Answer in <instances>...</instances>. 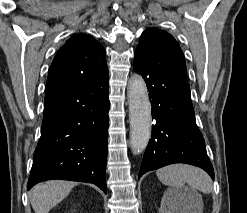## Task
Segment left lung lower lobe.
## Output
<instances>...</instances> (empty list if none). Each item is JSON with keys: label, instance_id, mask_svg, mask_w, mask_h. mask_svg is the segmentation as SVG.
Listing matches in <instances>:
<instances>
[{"label": "left lung lower lobe", "instance_id": "0a47b994", "mask_svg": "<svg viewBox=\"0 0 247 213\" xmlns=\"http://www.w3.org/2000/svg\"><path fill=\"white\" fill-rule=\"evenodd\" d=\"M133 67L147 84L152 119L156 122L139 178L168 164L187 163L201 167L214 179L205 141L196 125L186 65L134 62Z\"/></svg>", "mask_w": 247, "mask_h": 213}]
</instances>
